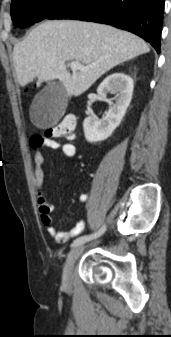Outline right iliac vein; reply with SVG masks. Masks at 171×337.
I'll return each instance as SVG.
<instances>
[{"label": "right iliac vein", "instance_id": "obj_1", "mask_svg": "<svg viewBox=\"0 0 171 337\" xmlns=\"http://www.w3.org/2000/svg\"><path fill=\"white\" fill-rule=\"evenodd\" d=\"M84 247L82 245L74 247L67 256L63 268V286L69 292L72 289V273L73 267L79 256L82 254Z\"/></svg>", "mask_w": 171, "mask_h": 337}]
</instances>
